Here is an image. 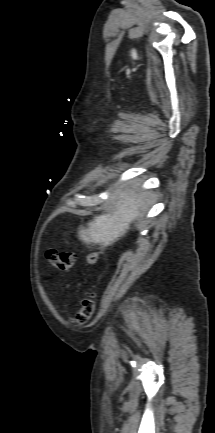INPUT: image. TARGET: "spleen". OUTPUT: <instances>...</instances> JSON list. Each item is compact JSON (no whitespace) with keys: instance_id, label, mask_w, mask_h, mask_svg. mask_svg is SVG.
I'll list each match as a JSON object with an SVG mask.
<instances>
[{"instance_id":"spleen-1","label":"spleen","mask_w":215,"mask_h":433,"mask_svg":"<svg viewBox=\"0 0 215 433\" xmlns=\"http://www.w3.org/2000/svg\"><path fill=\"white\" fill-rule=\"evenodd\" d=\"M141 202H135L130 196L122 195L119 206L113 214L95 217L88 228H80L79 237L86 243H99L103 246L112 244L124 235L129 224L139 214Z\"/></svg>"}]
</instances>
